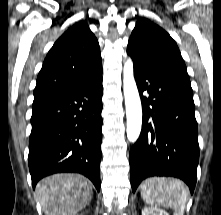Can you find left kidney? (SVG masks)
<instances>
[{"instance_id":"5707ae66","label":"left kidney","mask_w":221,"mask_h":215,"mask_svg":"<svg viewBox=\"0 0 221 215\" xmlns=\"http://www.w3.org/2000/svg\"><path fill=\"white\" fill-rule=\"evenodd\" d=\"M142 215H169L165 210L157 207H146L142 210Z\"/></svg>"}]
</instances>
